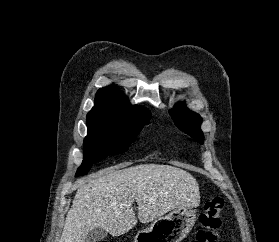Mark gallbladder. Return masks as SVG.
Masks as SVG:
<instances>
[{
  "label": "gallbladder",
  "instance_id": "gallbladder-1",
  "mask_svg": "<svg viewBox=\"0 0 279 242\" xmlns=\"http://www.w3.org/2000/svg\"><path fill=\"white\" fill-rule=\"evenodd\" d=\"M106 237L107 231L97 227L87 235L85 242H101Z\"/></svg>",
  "mask_w": 279,
  "mask_h": 242
}]
</instances>
